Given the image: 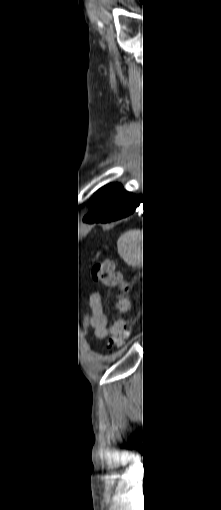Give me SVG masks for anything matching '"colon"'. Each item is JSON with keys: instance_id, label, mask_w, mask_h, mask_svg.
Segmentation results:
<instances>
[{"instance_id": "5ec220e1", "label": "colon", "mask_w": 221, "mask_h": 510, "mask_svg": "<svg viewBox=\"0 0 221 510\" xmlns=\"http://www.w3.org/2000/svg\"><path fill=\"white\" fill-rule=\"evenodd\" d=\"M92 279L106 287L116 286L119 282L118 275L114 272L112 263L104 260L95 263L92 267ZM129 336L128 327L120 321H116L111 328L110 346L118 348L124 345Z\"/></svg>"}]
</instances>
